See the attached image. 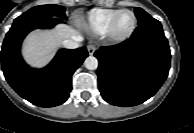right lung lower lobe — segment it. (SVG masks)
<instances>
[{
    "mask_svg": "<svg viewBox=\"0 0 194 133\" xmlns=\"http://www.w3.org/2000/svg\"><path fill=\"white\" fill-rule=\"evenodd\" d=\"M64 23L60 18L21 20L13 23L3 42L2 70L10 86L24 99L40 107L64 103L72 90V74L88 56L85 47L60 50L43 69L29 68L20 54L25 36L36 28H51Z\"/></svg>",
    "mask_w": 194,
    "mask_h": 133,
    "instance_id": "obj_1",
    "label": "right lung lower lobe"
}]
</instances>
